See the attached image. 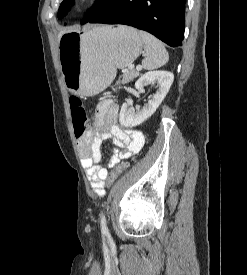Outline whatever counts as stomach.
Wrapping results in <instances>:
<instances>
[{
	"instance_id": "1",
	"label": "stomach",
	"mask_w": 247,
	"mask_h": 275,
	"mask_svg": "<svg viewBox=\"0 0 247 275\" xmlns=\"http://www.w3.org/2000/svg\"><path fill=\"white\" fill-rule=\"evenodd\" d=\"M143 41L129 26H97L88 31L66 32L59 40V62L67 89L94 96L105 90L117 69L131 65Z\"/></svg>"
}]
</instances>
